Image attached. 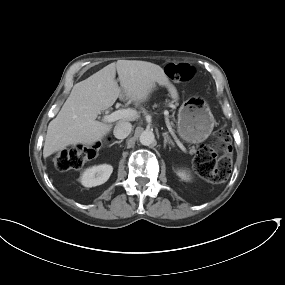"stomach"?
I'll use <instances>...</instances> for the list:
<instances>
[{"mask_svg":"<svg viewBox=\"0 0 285 285\" xmlns=\"http://www.w3.org/2000/svg\"><path fill=\"white\" fill-rule=\"evenodd\" d=\"M214 123L208 105L200 98H189L179 108L177 131L186 142L200 143L206 140Z\"/></svg>","mask_w":285,"mask_h":285,"instance_id":"1","label":"stomach"}]
</instances>
